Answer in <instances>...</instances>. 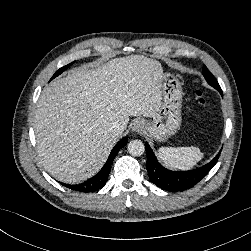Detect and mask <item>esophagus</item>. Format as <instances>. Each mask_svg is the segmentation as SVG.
I'll use <instances>...</instances> for the list:
<instances>
[{
  "mask_svg": "<svg viewBox=\"0 0 251 251\" xmlns=\"http://www.w3.org/2000/svg\"><path fill=\"white\" fill-rule=\"evenodd\" d=\"M132 129L135 132L141 133L144 129V124L141 121H135Z\"/></svg>",
  "mask_w": 251,
  "mask_h": 251,
  "instance_id": "esophagus-1",
  "label": "esophagus"
}]
</instances>
